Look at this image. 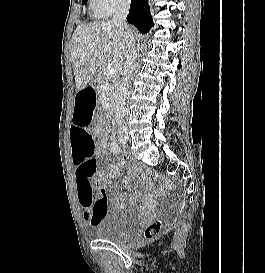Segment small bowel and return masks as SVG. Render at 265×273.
<instances>
[{
	"label": "small bowel",
	"instance_id": "c3829d8e",
	"mask_svg": "<svg viewBox=\"0 0 265 273\" xmlns=\"http://www.w3.org/2000/svg\"><path fill=\"white\" fill-rule=\"evenodd\" d=\"M95 91H80L75 99L74 124L70 129L73 164L75 165V184L79 205L82 209L83 220L92 227L108 210L107 187L111 179L120 174L126 164V159L121 158L118 164H109L97 169L94 155L106 154V147L101 145L95 148L92 139L84 133L88 132V123L92 122L95 107ZM91 180H93L94 185ZM94 188L97 199L94 202ZM101 204L97 211L96 205Z\"/></svg>",
	"mask_w": 265,
	"mask_h": 273
}]
</instances>
